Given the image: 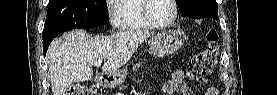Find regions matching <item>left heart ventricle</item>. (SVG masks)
<instances>
[{
	"label": "left heart ventricle",
	"mask_w": 277,
	"mask_h": 95,
	"mask_svg": "<svg viewBox=\"0 0 277 95\" xmlns=\"http://www.w3.org/2000/svg\"><path fill=\"white\" fill-rule=\"evenodd\" d=\"M148 11L156 22L165 23L171 19L174 8L169 0H152Z\"/></svg>",
	"instance_id": "left-heart-ventricle-1"
}]
</instances>
